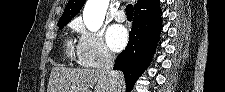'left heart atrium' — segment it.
Here are the masks:
<instances>
[{"label": "left heart atrium", "instance_id": "obj_1", "mask_svg": "<svg viewBox=\"0 0 225 92\" xmlns=\"http://www.w3.org/2000/svg\"><path fill=\"white\" fill-rule=\"evenodd\" d=\"M128 41L126 29L121 25L112 26L107 32V44L113 51L122 50Z\"/></svg>", "mask_w": 225, "mask_h": 92}]
</instances>
